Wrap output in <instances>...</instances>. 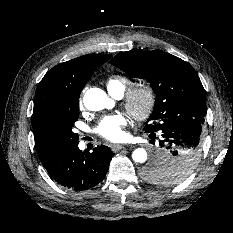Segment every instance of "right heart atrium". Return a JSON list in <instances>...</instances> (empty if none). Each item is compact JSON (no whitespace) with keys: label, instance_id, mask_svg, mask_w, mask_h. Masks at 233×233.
<instances>
[{"label":"right heart atrium","instance_id":"1","mask_svg":"<svg viewBox=\"0 0 233 233\" xmlns=\"http://www.w3.org/2000/svg\"><path fill=\"white\" fill-rule=\"evenodd\" d=\"M82 104V101H81V99H80V105Z\"/></svg>","mask_w":233,"mask_h":233}]
</instances>
